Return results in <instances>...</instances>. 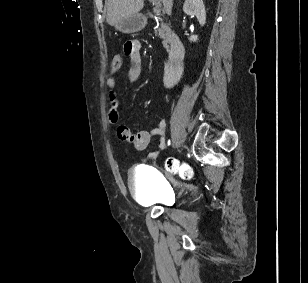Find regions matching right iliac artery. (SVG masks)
I'll list each match as a JSON object with an SVG mask.
<instances>
[{
    "label": "right iliac artery",
    "mask_w": 308,
    "mask_h": 283,
    "mask_svg": "<svg viewBox=\"0 0 308 283\" xmlns=\"http://www.w3.org/2000/svg\"><path fill=\"white\" fill-rule=\"evenodd\" d=\"M168 145H170V140H168Z\"/></svg>",
    "instance_id": "1"
}]
</instances>
